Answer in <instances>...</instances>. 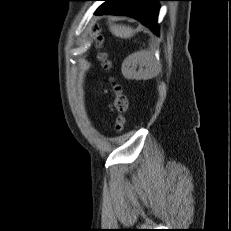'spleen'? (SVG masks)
I'll list each match as a JSON object with an SVG mask.
<instances>
[{
  "label": "spleen",
  "instance_id": "obj_1",
  "mask_svg": "<svg viewBox=\"0 0 231 231\" xmlns=\"http://www.w3.org/2000/svg\"><path fill=\"white\" fill-rule=\"evenodd\" d=\"M110 31L113 35L120 38H130L133 36L134 30L124 25H111Z\"/></svg>",
  "mask_w": 231,
  "mask_h": 231
}]
</instances>
